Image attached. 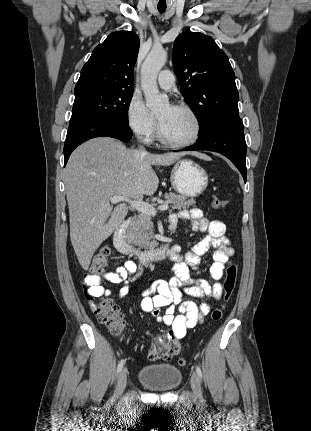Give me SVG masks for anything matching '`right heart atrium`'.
I'll return each mask as SVG.
<instances>
[{
	"label": "right heart atrium",
	"instance_id": "obj_1",
	"mask_svg": "<svg viewBox=\"0 0 311 431\" xmlns=\"http://www.w3.org/2000/svg\"><path fill=\"white\" fill-rule=\"evenodd\" d=\"M125 119L129 131L135 137L144 142H150L153 139L157 129L156 118L136 94H132L129 98Z\"/></svg>",
	"mask_w": 311,
	"mask_h": 431
}]
</instances>
